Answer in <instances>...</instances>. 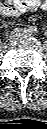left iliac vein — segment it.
I'll list each match as a JSON object with an SVG mask.
<instances>
[{
	"label": "left iliac vein",
	"mask_w": 47,
	"mask_h": 129,
	"mask_svg": "<svg viewBox=\"0 0 47 129\" xmlns=\"http://www.w3.org/2000/svg\"><path fill=\"white\" fill-rule=\"evenodd\" d=\"M33 36V34L32 33H29V32H24V34H23V36L21 37V38H24V39H27V38H30V37H32Z\"/></svg>",
	"instance_id": "1"
}]
</instances>
